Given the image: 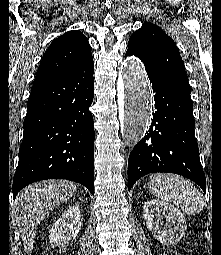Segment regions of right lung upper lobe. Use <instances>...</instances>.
<instances>
[{"instance_id": "cb5924a9", "label": "right lung upper lobe", "mask_w": 221, "mask_h": 255, "mask_svg": "<svg viewBox=\"0 0 221 255\" xmlns=\"http://www.w3.org/2000/svg\"><path fill=\"white\" fill-rule=\"evenodd\" d=\"M91 47L80 31H68L55 39L40 63L34 84L65 76L90 60Z\"/></svg>"}]
</instances>
